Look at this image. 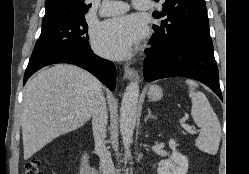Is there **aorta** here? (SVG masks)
I'll list each match as a JSON object with an SVG mask.
<instances>
[{"mask_svg":"<svg viewBox=\"0 0 249 174\" xmlns=\"http://www.w3.org/2000/svg\"><path fill=\"white\" fill-rule=\"evenodd\" d=\"M138 97V82L132 81L125 89L120 108V132L128 157H131L130 144L132 143L133 132L136 125Z\"/></svg>","mask_w":249,"mask_h":174,"instance_id":"762f6f07","label":"aorta"}]
</instances>
